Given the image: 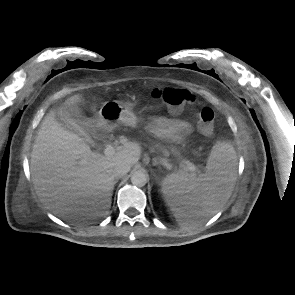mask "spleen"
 Segmentation results:
<instances>
[{
    "mask_svg": "<svg viewBox=\"0 0 295 295\" xmlns=\"http://www.w3.org/2000/svg\"><path fill=\"white\" fill-rule=\"evenodd\" d=\"M236 169L233 147L219 142L211 150L204 173H172L163 179V196L182 227L196 225L223 206L231 196Z\"/></svg>",
    "mask_w": 295,
    "mask_h": 295,
    "instance_id": "1",
    "label": "spleen"
}]
</instances>
